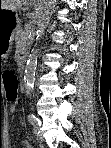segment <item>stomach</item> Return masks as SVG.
Returning a JSON list of instances; mask_svg holds the SVG:
<instances>
[{
	"instance_id": "1",
	"label": "stomach",
	"mask_w": 111,
	"mask_h": 148,
	"mask_svg": "<svg viewBox=\"0 0 111 148\" xmlns=\"http://www.w3.org/2000/svg\"><path fill=\"white\" fill-rule=\"evenodd\" d=\"M20 21L17 10L0 9V58L10 52Z\"/></svg>"
}]
</instances>
